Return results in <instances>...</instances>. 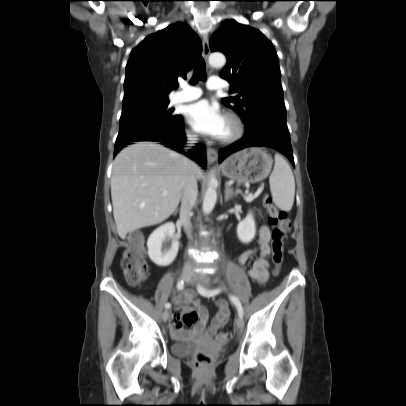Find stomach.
I'll return each instance as SVG.
<instances>
[{
	"mask_svg": "<svg viewBox=\"0 0 406 406\" xmlns=\"http://www.w3.org/2000/svg\"><path fill=\"white\" fill-rule=\"evenodd\" d=\"M272 158L259 147L243 149L228 157L221 165L224 176L239 183L264 180L272 168Z\"/></svg>",
	"mask_w": 406,
	"mask_h": 406,
	"instance_id": "stomach-1",
	"label": "stomach"
}]
</instances>
